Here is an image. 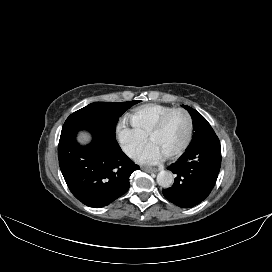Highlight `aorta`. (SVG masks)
<instances>
[{
    "label": "aorta",
    "instance_id": "obj_1",
    "mask_svg": "<svg viewBox=\"0 0 272 272\" xmlns=\"http://www.w3.org/2000/svg\"><path fill=\"white\" fill-rule=\"evenodd\" d=\"M157 183L163 188H169L173 184V176L169 171H161L157 175Z\"/></svg>",
    "mask_w": 272,
    "mask_h": 272
}]
</instances>
